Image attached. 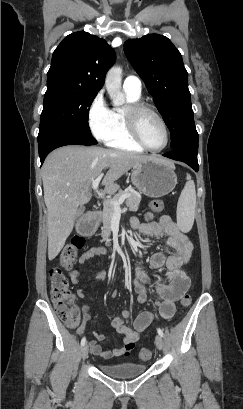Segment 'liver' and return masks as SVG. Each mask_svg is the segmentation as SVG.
I'll return each mask as SVG.
<instances>
[{
	"label": "liver",
	"instance_id": "1",
	"mask_svg": "<svg viewBox=\"0 0 243 409\" xmlns=\"http://www.w3.org/2000/svg\"><path fill=\"white\" fill-rule=\"evenodd\" d=\"M150 156L105 149L102 147L69 145L51 152L42 167L44 202L47 207L48 258L53 260L65 245L80 207L91 199L92 182L109 168L104 191L114 194L116 181L131 168Z\"/></svg>",
	"mask_w": 243,
	"mask_h": 409
}]
</instances>
